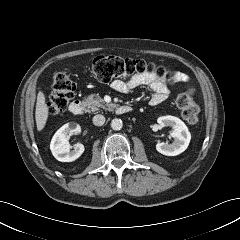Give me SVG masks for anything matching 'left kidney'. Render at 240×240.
Instances as JSON below:
<instances>
[{"label": "left kidney", "mask_w": 240, "mask_h": 240, "mask_svg": "<svg viewBox=\"0 0 240 240\" xmlns=\"http://www.w3.org/2000/svg\"><path fill=\"white\" fill-rule=\"evenodd\" d=\"M161 127H171V136L174 138L172 144L158 142L156 150L166 156H176L184 152L191 140V134L185 123L179 118L171 115L161 116L157 119Z\"/></svg>", "instance_id": "obj_1"}]
</instances>
